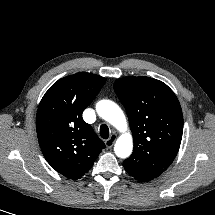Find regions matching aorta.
I'll use <instances>...</instances> for the list:
<instances>
[{
	"mask_svg": "<svg viewBox=\"0 0 215 215\" xmlns=\"http://www.w3.org/2000/svg\"><path fill=\"white\" fill-rule=\"evenodd\" d=\"M96 111L101 118L123 132L116 141L114 147L115 154L120 158L130 156L133 149V140L132 136L125 132L127 130V122L120 107L113 101L101 100L96 104Z\"/></svg>",
	"mask_w": 215,
	"mask_h": 215,
	"instance_id": "1",
	"label": "aorta"
}]
</instances>
